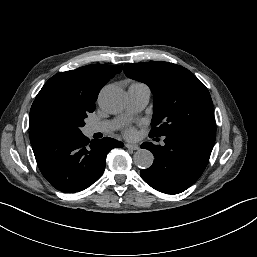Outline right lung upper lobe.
Listing matches in <instances>:
<instances>
[{"mask_svg": "<svg viewBox=\"0 0 257 257\" xmlns=\"http://www.w3.org/2000/svg\"><path fill=\"white\" fill-rule=\"evenodd\" d=\"M122 71V66L111 65H87L75 70L60 72L51 77L42 87L30 111V119L36 103L40 98L49 91H62L71 94L90 106H95L99 90L106 84L115 74ZM30 142L31 145L36 144L43 138L48 137L37 132L31 123Z\"/></svg>", "mask_w": 257, "mask_h": 257, "instance_id": "1", "label": "right lung upper lobe"}]
</instances>
